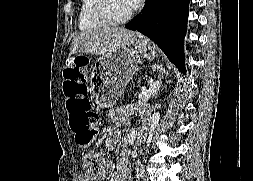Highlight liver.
<instances>
[{
  "label": "liver",
  "instance_id": "liver-1",
  "mask_svg": "<svg viewBox=\"0 0 253 181\" xmlns=\"http://www.w3.org/2000/svg\"><path fill=\"white\" fill-rule=\"evenodd\" d=\"M140 34L122 27H102L83 31L74 36L69 56L77 53L105 56L118 48L130 46Z\"/></svg>",
  "mask_w": 253,
  "mask_h": 181
}]
</instances>
